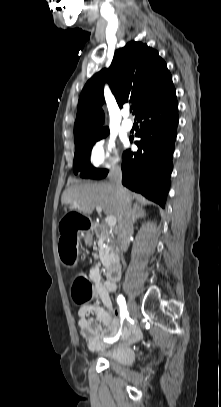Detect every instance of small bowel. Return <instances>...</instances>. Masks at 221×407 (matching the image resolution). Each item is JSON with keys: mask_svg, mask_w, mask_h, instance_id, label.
Segmentation results:
<instances>
[{"mask_svg": "<svg viewBox=\"0 0 221 407\" xmlns=\"http://www.w3.org/2000/svg\"><path fill=\"white\" fill-rule=\"evenodd\" d=\"M89 280L92 283L91 297L101 301L104 307L99 305H84L78 310V325L82 337L86 340L88 350H102L109 346L107 339L119 332L118 311L114 307L110 294L115 292L116 282L109 279L103 280L99 266L94 265L89 271ZM94 313L97 320L88 316ZM141 337L140 332L130 325L125 329L122 341L127 344L137 342Z\"/></svg>", "mask_w": 221, "mask_h": 407, "instance_id": "1", "label": "small bowel"}]
</instances>
